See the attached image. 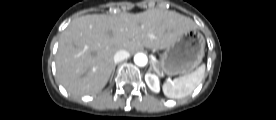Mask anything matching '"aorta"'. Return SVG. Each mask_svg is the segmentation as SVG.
I'll list each match as a JSON object with an SVG mask.
<instances>
[{
	"instance_id": "1",
	"label": "aorta",
	"mask_w": 276,
	"mask_h": 120,
	"mask_svg": "<svg viewBox=\"0 0 276 120\" xmlns=\"http://www.w3.org/2000/svg\"><path fill=\"white\" fill-rule=\"evenodd\" d=\"M134 62L137 66L144 67L148 62V58L144 53H137L134 56Z\"/></svg>"
}]
</instances>
